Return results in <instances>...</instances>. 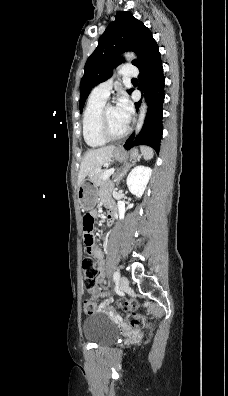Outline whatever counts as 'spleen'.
Returning a JSON list of instances; mask_svg holds the SVG:
<instances>
[{"label":"spleen","mask_w":228,"mask_h":396,"mask_svg":"<svg viewBox=\"0 0 228 396\" xmlns=\"http://www.w3.org/2000/svg\"><path fill=\"white\" fill-rule=\"evenodd\" d=\"M141 153L145 160H150L153 157V150L148 146H141Z\"/></svg>","instance_id":"3e777b00"}]
</instances>
